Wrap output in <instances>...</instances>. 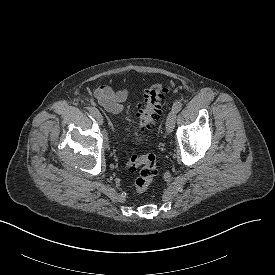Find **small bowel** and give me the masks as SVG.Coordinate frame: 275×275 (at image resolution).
Segmentation results:
<instances>
[{
    "label": "small bowel",
    "instance_id": "small-bowel-1",
    "mask_svg": "<svg viewBox=\"0 0 275 275\" xmlns=\"http://www.w3.org/2000/svg\"><path fill=\"white\" fill-rule=\"evenodd\" d=\"M94 98L107 111L120 113L125 108L128 91L126 89L114 91L108 85H101L94 91Z\"/></svg>",
    "mask_w": 275,
    "mask_h": 275
}]
</instances>
